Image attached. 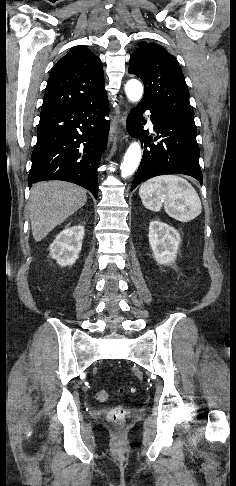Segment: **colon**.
Masks as SVG:
<instances>
[{
    "mask_svg": "<svg viewBox=\"0 0 236 486\" xmlns=\"http://www.w3.org/2000/svg\"><path fill=\"white\" fill-rule=\"evenodd\" d=\"M132 390V388L130 389ZM96 399L100 402H104L108 399V393L106 390H99L96 393ZM125 409L121 406L114 407L108 414L110 422L116 427H121L125 420Z\"/></svg>",
    "mask_w": 236,
    "mask_h": 486,
    "instance_id": "5ec220e1",
    "label": "colon"
}]
</instances>
